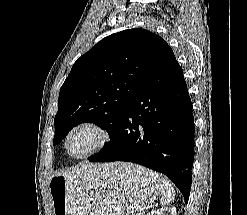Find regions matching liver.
Returning a JSON list of instances; mask_svg holds the SVG:
<instances>
[{"label": "liver", "mask_w": 247, "mask_h": 215, "mask_svg": "<svg viewBox=\"0 0 247 215\" xmlns=\"http://www.w3.org/2000/svg\"><path fill=\"white\" fill-rule=\"evenodd\" d=\"M94 166L93 164H84L82 165L81 167H75L73 168L72 170H69V171H66V172H63L62 174L63 175H68V176H71L75 173H79V172H82L90 167Z\"/></svg>", "instance_id": "liver-1"}]
</instances>
